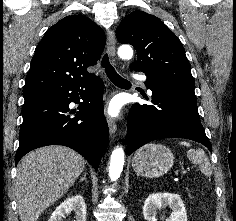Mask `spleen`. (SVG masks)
I'll use <instances>...</instances> for the list:
<instances>
[{"instance_id": "spleen-1", "label": "spleen", "mask_w": 236, "mask_h": 221, "mask_svg": "<svg viewBox=\"0 0 236 221\" xmlns=\"http://www.w3.org/2000/svg\"><path fill=\"white\" fill-rule=\"evenodd\" d=\"M180 145L190 147V143L186 141L180 142ZM188 159L195 165H198L201 172L206 176L212 175V168L208 157L202 149H190L187 152Z\"/></svg>"}]
</instances>
